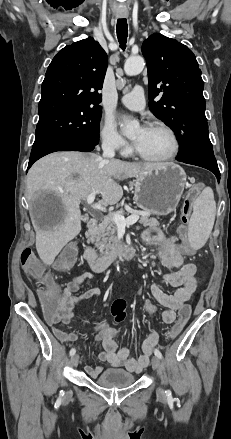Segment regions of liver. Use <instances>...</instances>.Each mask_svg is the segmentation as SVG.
I'll list each match as a JSON object with an SVG mask.
<instances>
[{"instance_id":"obj_1","label":"liver","mask_w":231,"mask_h":439,"mask_svg":"<svg viewBox=\"0 0 231 439\" xmlns=\"http://www.w3.org/2000/svg\"><path fill=\"white\" fill-rule=\"evenodd\" d=\"M166 163H129L103 159L95 153L55 152L38 160L27 174L28 200L50 194L58 201L49 217L33 214L36 249L42 262L51 265L62 248L81 231V200L91 193L114 205L123 196L117 180L139 177Z\"/></svg>"}]
</instances>
